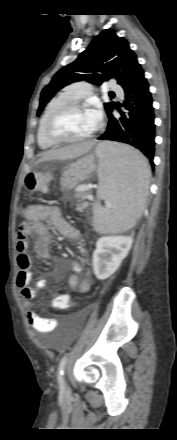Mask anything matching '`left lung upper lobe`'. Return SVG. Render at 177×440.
Returning <instances> with one entry per match:
<instances>
[{
    "mask_svg": "<svg viewBox=\"0 0 177 440\" xmlns=\"http://www.w3.org/2000/svg\"><path fill=\"white\" fill-rule=\"evenodd\" d=\"M140 69L128 41L118 37L115 30H105L92 40L74 62L60 69L42 90L37 116L54 94L66 85L81 80L100 85L105 80L115 78L124 88ZM104 106L109 115L115 103H105Z\"/></svg>",
    "mask_w": 177,
    "mask_h": 440,
    "instance_id": "5c2ea615",
    "label": "left lung upper lobe"
}]
</instances>
